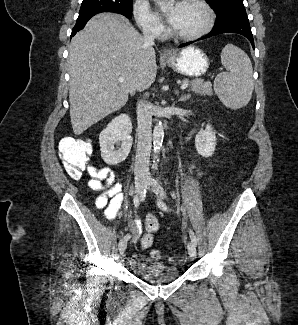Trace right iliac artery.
<instances>
[{
    "label": "right iliac artery",
    "mask_w": 298,
    "mask_h": 325,
    "mask_svg": "<svg viewBox=\"0 0 298 325\" xmlns=\"http://www.w3.org/2000/svg\"><path fill=\"white\" fill-rule=\"evenodd\" d=\"M134 205L135 207H137L139 205V198L138 197H135L134 198ZM131 235L130 234H127L125 237H124V240L125 241H128L130 239Z\"/></svg>",
    "instance_id": "right-iliac-artery-1"
}]
</instances>
